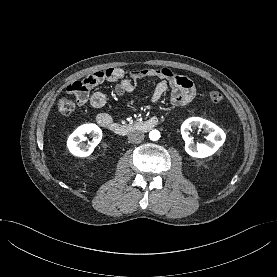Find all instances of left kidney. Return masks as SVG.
<instances>
[{
    "mask_svg": "<svg viewBox=\"0 0 277 277\" xmlns=\"http://www.w3.org/2000/svg\"><path fill=\"white\" fill-rule=\"evenodd\" d=\"M196 128L203 129L208 133L205 143H197L195 145L189 138V131ZM181 134L185 141V151L196 158H205L213 155L223 145L226 138L221 128L200 117H191L185 120L181 126Z\"/></svg>",
    "mask_w": 277,
    "mask_h": 277,
    "instance_id": "left-kidney-1",
    "label": "left kidney"
}]
</instances>
